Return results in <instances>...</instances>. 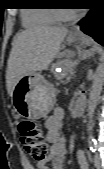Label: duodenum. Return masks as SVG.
Here are the masks:
<instances>
[{
  "label": "duodenum",
  "mask_w": 104,
  "mask_h": 169,
  "mask_svg": "<svg viewBox=\"0 0 104 169\" xmlns=\"http://www.w3.org/2000/svg\"><path fill=\"white\" fill-rule=\"evenodd\" d=\"M87 106V101L85 98H78L75 103V114L77 116H82L85 112Z\"/></svg>",
  "instance_id": "410a0bca"
}]
</instances>
